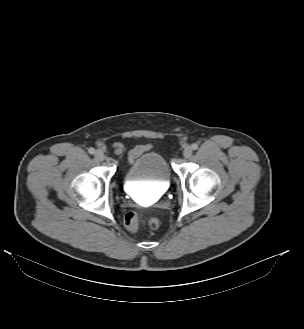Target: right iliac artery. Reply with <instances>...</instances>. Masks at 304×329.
<instances>
[{
    "instance_id": "obj_1",
    "label": "right iliac artery",
    "mask_w": 304,
    "mask_h": 329,
    "mask_svg": "<svg viewBox=\"0 0 304 329\" xmlns=\"http://www.w3.org/2000/svg\"><path fill=\"white\" fill-rule=\"evenodd\" d=\"M88 152H89L90 154H94V153H95V149H94V148H89V149H88Z\"/></svg>"
}]
</instances>
